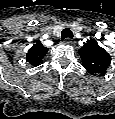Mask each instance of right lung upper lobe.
Segmentation results:
<instances>
[{"instance_id":"obj_1","label":"right lung upper lobe","mask_w":115,"mask_h":119,"mask_svg":"<svg viewBox=\"0 0 115 119\" xmlns=\"http://www.w3.org/2000/svg\"><path fill=\"white\" fill-rule=\"evenodd\" d=\"M48 48L44 47L40 42H36L28 51L26 60L32 66H38L43 57L46 55Z\"/></svg>"}]
</instances>
